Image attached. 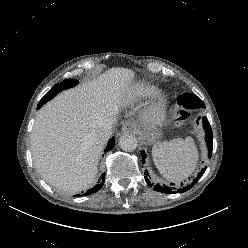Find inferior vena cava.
Here are the masks:
<instances>
[{
	"instance_id": "602c4592",
	"label": "inferior vena cava",
	"mask_w": 248,
	"mask_h": 248,
	"mask_svg": "<svg viewBox=\"0 0 248 248\" xmlns=\"http://www.w3.org/2000/svg\"><path fill=\"white\" fill-rule=\"evenodd\" d=\"M113 125L112 121H107L102 127L95 130L93 133L94 141L101 144L106 143L113 132Z\"/></svg>"
}]
</instances>
